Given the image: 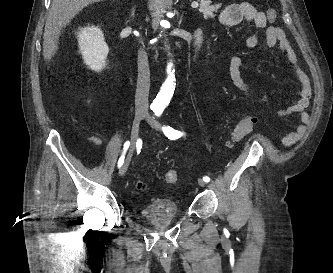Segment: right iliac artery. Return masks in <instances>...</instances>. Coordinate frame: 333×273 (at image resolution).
Masks as SVG:
<instances>
[{"instance_id":"obj_1","label":"right iliac artery","mask_w":333,"mask_h":273,"mask_svg":"<svg viewBox=\"0 0 333 273\" xmlns=\"http://www.w3.org/2000/svg\"><path fill=\"white\" fill-rule=\"evenodd\" d=\"M129 146H130V142L126 141L124 143L123 154L121 155V157L118 160V167L119 168L123 165L124 158H125V153H126L127 149L129 148Z\"/></svg>"}]
</instances>
